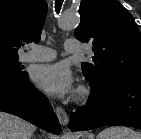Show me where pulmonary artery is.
I'll return each instance as SVG.
<instances>
[{
  "label": "pulmonary artery",
  "mask_w": 141,
  "mask_h": 139,
  "mask_svg": "<svg viewBox=\"0 0 141 139\" xmlns=\"http://www.w3.org/2000/svg\"><path fill=\"white\" fill-rule=\"evenodd\" d=\"M65 51L75 53L81 50L80 44L75 40H66ZM56 52L48 47L34 45L32 49L24 55V60L28 62H45L55 59Z\"/></svg>",
  "instance_id": "1"
}]
</instances>
